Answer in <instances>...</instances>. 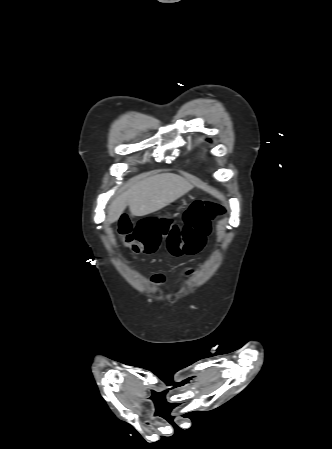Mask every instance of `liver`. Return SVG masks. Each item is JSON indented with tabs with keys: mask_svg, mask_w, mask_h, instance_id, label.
<instances>
[{
	"mask_svg": "<svg viewBox=\"0 0 332 449\" xmlns=\"http://www.w3.org/2000/svg\"><path fill=\"white\" fill-rule=\"evenodd\" d=\"M192 188L191 183L176 174L164 173L148 177L110 202L107 222L117 221L127 206L134 216L151 214L182 197Z\"/></svg>",
	"mask_w": 332,
	"mask_h": 449,
	"instance_id": "1",
	"label": "liver"
}]
</instances>
